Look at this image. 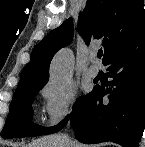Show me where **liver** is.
Returning a JSON list of instances; mask_svg holds the SVG:
<instances>
[{
	"instance_id": "1",
	"label": "liver",
	"mask_w": 145,
	"mask_h": 147,
	"mask_svg": "<svg viewBox=\"0 0 145 147\" xmlns=\"http://www.w3.org/2000/svg\"><path fill=\"white\" fill-rule=\"evenodd\" d=\"M65 142L60 135L44 136L40 139L34 140L25 147H66ZM71 147H86L76 141H71Z\"/></svg>"
}]
</instances>
